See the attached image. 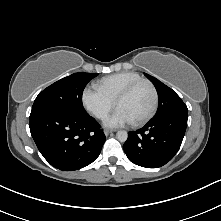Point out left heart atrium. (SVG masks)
Listing matches in <instances>:
<instances>
[{
    "instance_id": "1",
    "label": "left heart atrium",
    "mask_w": 221,
    "mask_h": 221,
    "mask_svg": "<svg viewBox=\"0 0 221 221\" xmlns=\"http://www.w3.org/2000/svg\"><path fill=\"white\" fill-rule=\"evenodd\" d=\"M131 118L120 108L105 120V125L108 127H122L131 123Z\"/></svg>"
}]
</instances>
